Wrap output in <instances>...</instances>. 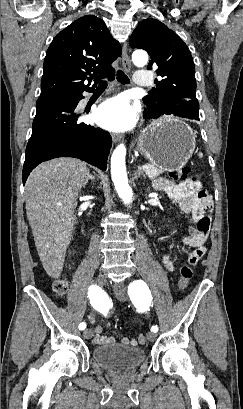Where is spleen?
I'll list each match as a JSON object with an SVG mask.
<instances>
[{"label": "spleen", "instance_id": "spleen-1", "mask_svg": "<svg viewBox=\"0 0 243 409\" xmlns=\"http://www.w3.org/2000/svg\"><path fill=\"white\" fill-rule=\"evenodd\" d=\"M199 157H200V158L203 157V154H202V153H199Z\"/></svg>", "mask_w": 243, "mask_h": 409}]
</instances>
